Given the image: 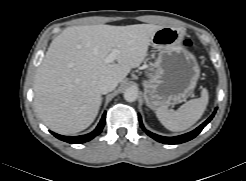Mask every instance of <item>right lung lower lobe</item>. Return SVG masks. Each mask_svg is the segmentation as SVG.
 I'll list each match as a JSON object with an SVG mask.
<instances>
[{
	"label": "right lung lower lobe",
	"instance_id": "98d812e1",
	"mask_svg": "<svg viewBox=\"0 0 246 181\" xmlns=\"http://www.w3.org/2000/svg\"><path fill=\"white\" fill-rule=\"evenodd\" d=\"M105 119H106V113L103 114L102 119L100 121V123L98 124V126L96 127V129L94 131H92L89 134L86 135H82V136H75V137H71V136H62L59 134H56L54 132H51L56 138L71 143V144H79V143H84L87 141H90L91 139H93L95 136H97L103 129L104 125H105Z\"/></svg>",
	"mask_w": 246,
	"mask_h": 181
}]
</instances>
